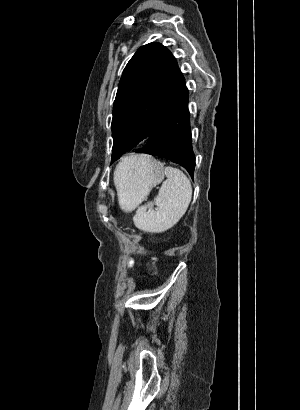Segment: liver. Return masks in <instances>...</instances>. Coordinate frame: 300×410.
I'll list each match as a JSON object with an SVG mask.
<instances>
[{"mask_svg":"<svg viewBox=\"0 0 300 410\" xmlns=\"http://www.w3.org/2000/svg\"><path fill=\"white\" fill-rule=\"evenodd\" d=\"M136 158L137 159H142V158H144V156L143 155H141V156H136ZM118 191V190H117Z\"/></svg>","mask_w":300,"mask_h":410,"instance_id":"6515ba94","label":"liver"}]
</instances>
